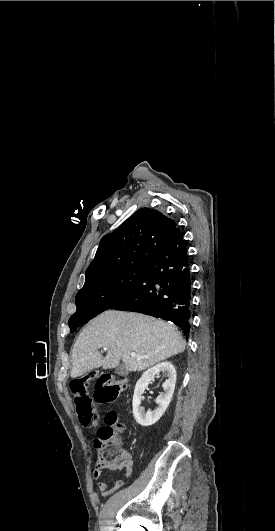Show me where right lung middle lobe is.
<instances>
[{
  "label": "right lung middle lobe",
  "instance_id": "obj_1",
  "mask_svg": "<svg viewBox=\"0 0 275 531\" xmlns=\"http://www.w3.org/2000/svg\"><path fill=\"white\" fill-rule=\"evenodd\" d=\"M146 269L131 266L106 273L88 283L77 293V311L69 319L70 331L124 299L137 284Z\"/></svg>",
  "mask_w": 275,
  "mask_h": 531
}]
</instances>
